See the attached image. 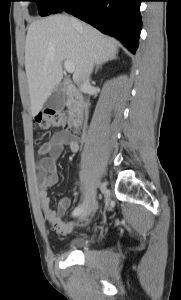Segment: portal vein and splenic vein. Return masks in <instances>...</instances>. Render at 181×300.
<instances>
[{
    "mask_svg": "<svg viewBox=\"0 0 181 300\" xmlns=\"http://www.w3.org/2000/svg\"><path fill=\"white\" fill-rule=\"evenodd\" d=\"M64 68L66 69V71L68 73H73L75 71V67H74L73 63L69 60L64 61Z\"/></svg>",
    "mask_w": 181,
    "mask_h": 300,
    "instance_id": "1",
    "label": "portal vein and splenic vein"
}]
</instances>
